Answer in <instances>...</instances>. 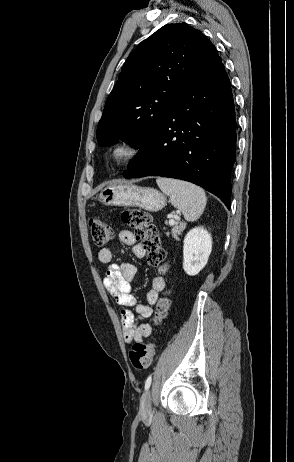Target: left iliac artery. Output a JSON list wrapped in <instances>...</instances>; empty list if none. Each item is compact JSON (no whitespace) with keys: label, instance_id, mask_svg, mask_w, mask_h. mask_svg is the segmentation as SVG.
Here are the masks:
<instances>
[{"label":"left iliac artery","instance_id":"obj_1","mask_svg":"<svg viewBox=\"0 0 294 462\" xmlns=\"http://www.w3.org/2000/svg\"><path fill=\"white\" fill-rule=\"evenodd\" d=\"M151 381H152V375H149L147 380L145 381V390H148L150 388Z\"/></svg>","mask_w":294,"mask_h":462}]
</instances>
